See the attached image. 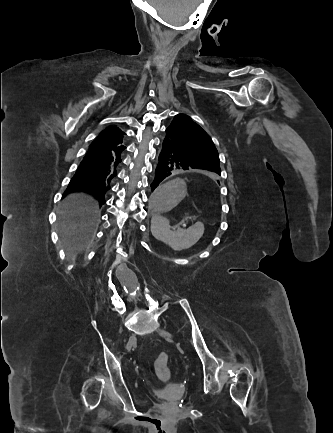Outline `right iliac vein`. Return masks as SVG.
I'll return each mask as SVG.
<instances>
[{
	"label": "right iliac vein",
	"mask_w": 333,
	"mask_h": 433,
	"mask_svg": "<svg viewBox=\"0 0 333 433\" xmlns=\"http://www.w3.org/2000/svg\"><path fill=\"white\" fill-rule=\"evenodd\" d=\"M136 344V336L131 335L128 339V343L126 345L127 350H130Z\"/></svg>",
	"instance_id": "63e3f726"
}]
</instances>
